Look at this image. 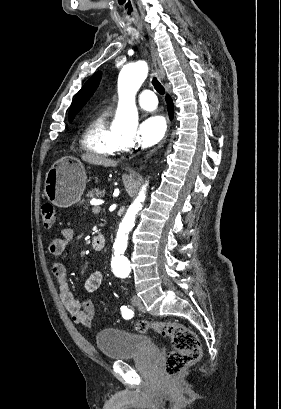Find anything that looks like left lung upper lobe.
I'll return each instance as SVG.
<instances>
[{"label":"left lung upper lobe","mask_w":281,"mask_h":409,"mask_svg":"<svg viewBox=\"0 0 281 409\" xmlns=\"http://www.w3.org/2000/svg\"><path fill=\"white\" fill-rule=\"evenodd\" d=\"M101 79V72L95 73L81 88V90L76 94L70 110H69V120L72 121L75 115L81 110V108L86 104V102L93 95L97 89Z\"/></svg>","instance_id":"obj_1"}]
</instances>
